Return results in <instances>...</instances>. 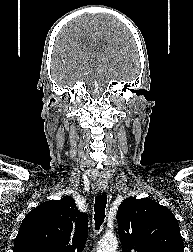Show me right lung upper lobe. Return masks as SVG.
Listing matches in <instances>:
<instances>
[{"label": "right lung upper lobe", "mask_w": 193, "mask_h": 252, "mask_svg": "<svg viewBox=\"0 0 193 252\" xmlns=\"http://www.w3.org/2000/svg\"><path fill=\"white\" fill-rule=\"evenodd\" d=\"M88 236V215L71 196L41 203L27 214L14 252H81Z\"/></svg>", "instance_id": "cb5924a9"}]
</instances>
